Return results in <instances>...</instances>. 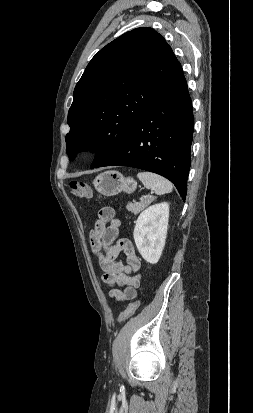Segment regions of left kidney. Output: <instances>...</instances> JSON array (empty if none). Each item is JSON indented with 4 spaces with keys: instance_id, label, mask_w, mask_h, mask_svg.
<instances>
[{
    "instance_id": "obj_1",
    "label": "left kidney",
    "mask_w": 253,
    "mask_h": 413,
    "mask_svg": "<svg viewBox=\"0 0 253 413\" xmlns=\"http://www.w3.org/2000/svg\"><path fill=\"white\" fill-rule=\"evenodd\" d=\"M169 204H154L138 217L134 228V241L144 260L156 264L162 254L167 235Z\"/></svg>"
}]
</instances>
